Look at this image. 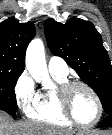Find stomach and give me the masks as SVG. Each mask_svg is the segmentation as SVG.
I'll return each instance as SVG.
<instances>
[{
    "label": "stomach",
    "mask_w": 112,
    "mask_h": 135,
    "mask_svg": "<svg viewBox=\"0 0 112 135\" xmlns=\"http://www.w3.org/2000/svg\"><path fill=\"white\" fill-rule=\"evenodd\" d=\"M76 135H99L96 132L86 131V132H78Z\"/></svg>",
    "instance_id": "1"
}]
</instances>
